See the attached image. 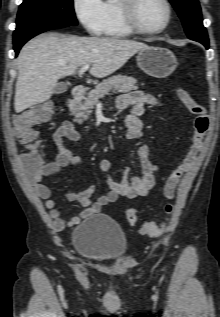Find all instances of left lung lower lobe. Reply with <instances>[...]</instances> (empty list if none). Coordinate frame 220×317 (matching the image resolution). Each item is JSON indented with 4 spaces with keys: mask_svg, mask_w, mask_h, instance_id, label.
I'll list each match as a JSON object with an SVG mask.
<instances>
[{
    "mask_svg": "<svg viewBox=\"0 0 220 317\" xmlns=\"http://www.w3.org/2000/svg\"><path fill=\"white\" fill-rule=\"evenodd\" d=\"M191 39V38H190ZM192 40H195V41H198L200 43H202L207 49L209 47V42H208V39L207 40H203V39H198V38H192Z\"/></svg>",
    "mask_w": 220,
    "mask_h": 317,
    "instance_id": "obj_1",
    "label": "left lung lower lobe"
}]
</instances>
